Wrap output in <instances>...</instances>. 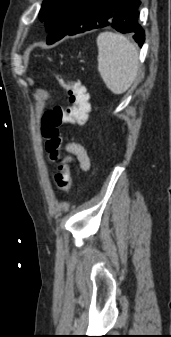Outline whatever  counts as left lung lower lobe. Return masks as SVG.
Here are the masks:
<instances>
[{
    "label": "left lung lower lobe",
    "instance_id": "left-lung-lower-lobe-1",
    "mask_svg": "<svg viewBox=\"0 0 171 337\" xmlns=\"http://www.w3.org/2000/svg\"><path fill=\"white\" fill-rule=\"evenodd\" d=\"M140 0H85L75 25L66 35L111 26L121 33L133 32L141 47L144 30L138 24Z\"/></svg>",
    "mask_w": 171,
    "mask_h": 337
}]
</instances>
